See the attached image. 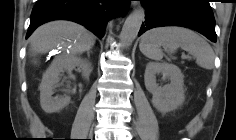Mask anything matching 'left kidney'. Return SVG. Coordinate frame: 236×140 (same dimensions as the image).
I'll list each match as a JSON object with an SVG mask.
<instances>
[{"instance_id":"obj_1","label":"left kidney","mask_w":236,"mask_h":140,"mask_svg":"<svg viewBox=\"0 0 236 140\" xmlns=\"http://www.w3.org/2000/svg\"><path fill=\"white\" fill-rule=\"evenodd\" d=\"M163 74L170 79V84L163 87L156 83V74ZM184 75L171 63L149 62L144 74L146 89L153 95L152 104L160 112H170L177 109L185 100Z\"/></svg>"}]
</instances>
